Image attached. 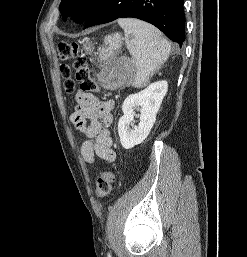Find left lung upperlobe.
<instances>
[{
    "label": "left lung upper lobe",
    "mask_w": 247,
    "mask_h": 257,
    "mask_svg": "<svg viewBox=\"0 0 247 257\" xmlns=\"http://www.w3.org/2000/svg\"><path fill=\"white\" fill-rule=\"evenodd\" d=\"M100 2L101 0H62L59 10L64 21L67 16H71L75 22L82 24Z\"/></svg>",
    "instance_id": "1"
}]
</instances>
